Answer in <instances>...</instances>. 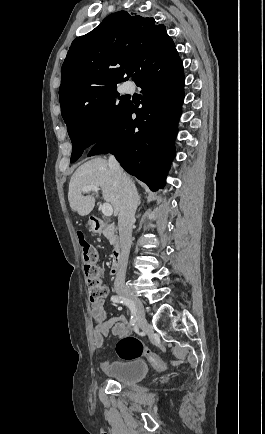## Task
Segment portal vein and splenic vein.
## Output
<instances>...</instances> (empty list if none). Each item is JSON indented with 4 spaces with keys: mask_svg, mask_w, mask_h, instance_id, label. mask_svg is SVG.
I'll return each instance as SVG.
<instances>
[{
    "mask_svg": "<svg viewBox=\"0 0 265 434\" xmlns=\"http://www.w3.org/2000/svg\"><path fill=\"white\" fill-rule=\"evenodd\" d=\"M98 190V186H85V188H82V192H96V194H98ZM102 214H104V216H112L113 208L111 204H103Z\"/></svg>",
    "mask_w": 265,
    "mask_h": 434,
    "instance_id": "portal-vein-and-splenic-vein-1",
    "label": "portal vein and splenic vein"
}]
</instances>
